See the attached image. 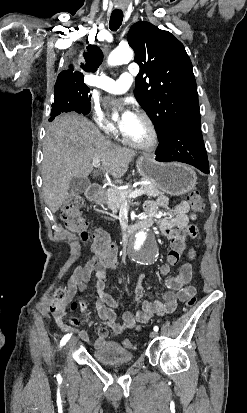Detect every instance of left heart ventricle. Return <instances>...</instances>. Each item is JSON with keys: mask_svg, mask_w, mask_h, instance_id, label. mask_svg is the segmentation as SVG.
Masks as SVG:
<instances>
[{"mask_svg": "<svg viewBox=\"0 0 247 413\" xmlns=\"http://www.w3.org/2000/svg\"><path fill=\"white\" fill-rule=\"evenodd\" d=\"M126 135L132 140L147 142L152 137V131L149 125L144 120H141L138 126L133 127Z\"/></svg>", "mask_w": 247, "mask_h": 413, "instance_id": "left-heart-ventricle-1", "label": "left heart ventricle"}]
</instances>
